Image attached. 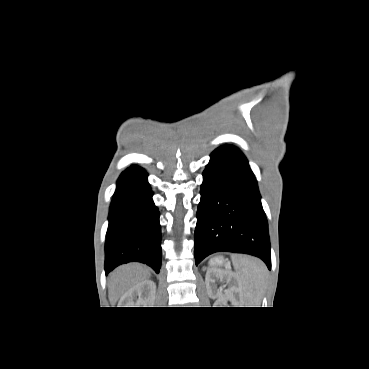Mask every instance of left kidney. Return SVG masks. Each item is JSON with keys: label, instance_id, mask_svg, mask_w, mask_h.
I'll use <instances>...</instances> for the list:
<instances>
[{"label": "left kidney", "instance_id": "left-kidney-1", "mask_svg": "<svg viewBox=\"0 0 369 369\" xmlns=\"http://www.w3.org/2000/svg\"><path fill=\"white\" fill-rule=\"evenodd\" d=\"M215 278H218L220 280H226V283L229 285V288L225 293V297L228 300L232 301L237 307H241V304H243L242 294L236 275L232 272L220 270L217 268H210L207 270L205 276L207 294L210 298L213 299L219 296V292L214 291L212 288V284L214 283Z\"/></svg>", "mask_w": 369, "mask_h": 369}]
</instances>
